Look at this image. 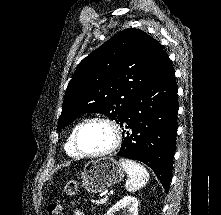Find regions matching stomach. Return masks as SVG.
Wrapping results in <instances>:
<instances>
[{"label":"stomach","instance_id":"obj_1","mask_svg":"<svg viewBox=\"0 0 221 215\" xmlns=\"http://www.w3.org/2000/svg\"><path fill=\"white\" fill-rule=\"evenodd\" d=\"M124 168L112 158L88 162L82 172V186L91 193H101L122 181Z\"/></svg>","mask_w":221,"mask_h":215}]
</instances>
